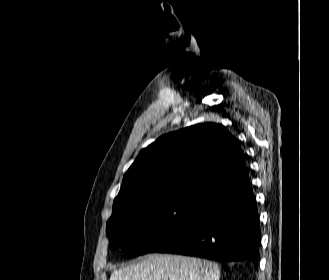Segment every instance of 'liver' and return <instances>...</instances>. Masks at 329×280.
Segmentation results:
<instances>
[{
	"mask_svg": "<svg viewBox=\"0 0 329 280\" xmlns=\"http://www.w3.org/2000/svg\"><path fill=\"white\" fill-rule=\"evenodd\" d=\"M216 263L195 257L151 254L123 269L114 270L110 280H219Z\"/></svg>",
	"mask_w": 329,
	"mask_h": 280,
	"instance_id": "1",
	"label": "liver"
}]
</instances>
